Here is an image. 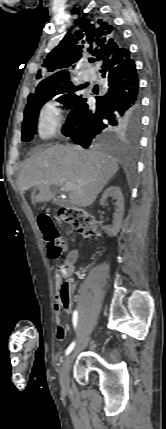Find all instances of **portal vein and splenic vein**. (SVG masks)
<instances>
[{"instance_id":"1","label":"portal vein and splenic vein","mask_w":166,"mask_h":429,"mask_svg":"<svg viewBox=\"0 0 166 429\" xmlns=\"http://www.w3.org/2000/svg\"><path fill=\"white\" fill-rule=\"evenodd\" d=\"M72 187H73V185H72L71 183H65V188H66L67 190L72 189Z\"/></svg>"}]
</instances>
